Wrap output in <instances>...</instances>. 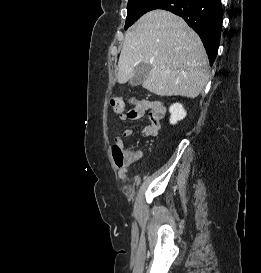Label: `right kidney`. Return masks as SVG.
<instances>
[{
	"instance_id": "obj_1",
	"label": "right kidney",
	"mask_w": 261,
	"mask_h": 273,
	"mask_svg": "<svg viewBox=\"0 0 261 273\" xmlns=\"http://www.w3.org/2000/svg\"><path fill=\"white\" fill-rule=\"evenodd\" d=\"M169 112L171 114L170 116V124H176L178 121L184 119L186 117V111L183 108L182 104L175 103L170 106Z\"/></svg>"
}]
</instances>
